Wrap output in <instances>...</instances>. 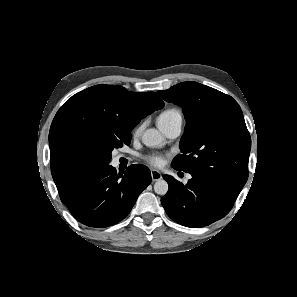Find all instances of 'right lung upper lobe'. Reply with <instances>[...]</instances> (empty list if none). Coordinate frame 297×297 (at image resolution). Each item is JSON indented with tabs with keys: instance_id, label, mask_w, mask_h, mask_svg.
Listing matches in <instances>:
<instances>
[{
	"instance_id": "cb5924a9",
	"label": "right lung upper lobe",
	"mask_w": 297,
	"mask_h": 297,
	"mask_svg": "<svg viewBox=\"0 0 297 297\" xmlns=\"http://www.w3.org/2000/svg\"><path fill=\"white\" fill-rule=\"evenodd\" d=\"M154 92H129L100 84L73 95L58 110L49 132L51 172L60 198L101 169L103 147L131 136L141 119L161 109Z\"/></svg>"
}]
</instances>
